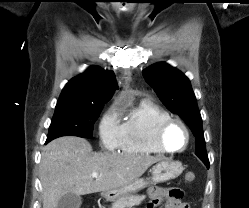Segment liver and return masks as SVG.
Returning <instances> with one entry per match:
<instances>
[{"mask_svg":"<svg viewBox=\"0 0 249 208\" xmlns=\"http://www.w3.org/2000/svg\"><path fill=\"white\" fill-rule=\"evenodd\" d=\"M162 159L150 155L94 153L86 139L75 136L54 139L44 147L39 165L43 208H57L68 192L86 195L125 187ZM93 173L98 177L93 178Z\"/></svg>","mask_w":249,"mask_h":208,"instance_id":"6515ba94","label":"liver"}]
</instances>
